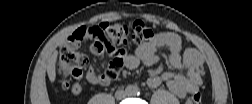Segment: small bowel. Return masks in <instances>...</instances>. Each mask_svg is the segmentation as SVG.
Returning a JSON list of instances; mask_svg holds the SVG:
<instances>
[{
    "instance_id": "small-bowel-1",
    "label": "small bowel",
    "mask_w": 252,
    "mask_h": 104,
    "mask_svg": "<svg viewBox=\"0 0 252 104\" xmlns=\"http://www.w3.org/2000/svg\"><path fill=\"white\" fill-rule=\"evenodd\" d=\"M161 47L169 49L171 67L176 70H185L187 74L167 71L151 76L147 80V85L150 88H156L165 84L179 98H184L188 93L197 91L202 84L203 57L196 49H183L181 38L176 33L163 32L157 34L150 41L140 45L133 54L122 56V66L128 69H135L140 63L153 66L159 61L157 51ZM91 51L101 55L96 43L92 45ZM86 79L92 85L104 87L110 86L113 82V79L109 78L106 72L98 73L92 66L87 69ZM72 93L77 95L79 89L73 90Z\"/></svg>"
}]
</instances>
